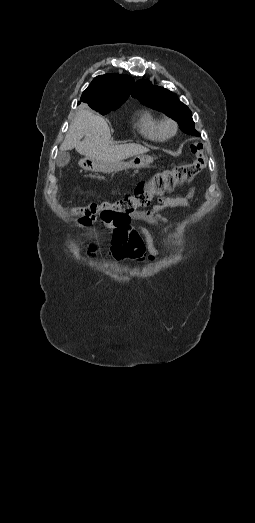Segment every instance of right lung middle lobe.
Masks as SVG:
<instances>
[{
  "instance_id": "right-lung-middle-lobe-1",
  "label": "right lung middle lobe",
  "mask_w": 255,
  "mask_h": 523,
  "mask_svg": "<svg viewBox=\"0 0 255 523\" xmlns=\"http://www.w3.org/2000/svg\"><path fill=\"white\" fill-rule=\"evenodd\" d=\"M124 102H117V103H101V104H94L90 105V107L99 112L102 115H105L109 113L112 110L118 109Z\"/></svg>"
}]
</instances>
